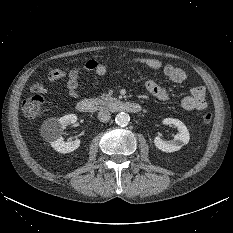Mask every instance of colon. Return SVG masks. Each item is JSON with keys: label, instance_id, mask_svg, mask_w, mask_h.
Masks as SVG:
<instances>
[{"label": "colon", "instance_id": "5ec220e1", "mask_svg": "<svg viewBox=\"0 0 233 233\" xmlns=\"http://www.w3.org/2000/svg\"><path fill=\"white\" fill-rule=\"evenodd\" d=\"M43 97L41 95H34L27 98L22 103V111L24 115L28 118L38 117L42 112L43 107ZM213 116L211 113H205L203 115V122L205 124L211 123Z\"/></svg>", "mask_w": 233, "mask_h": 233}]
</instances>
